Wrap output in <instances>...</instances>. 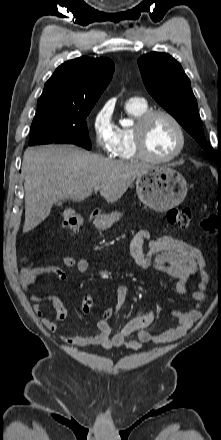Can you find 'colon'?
Here are the masks:
<instances>
[{
	"label": "colon",
	"instance_id": "5ec220e1",
	"mask_svg": "<svg viewBox=\"0 0 221 440\" xmlns=\"http://www.w3.org/2000/svg\"><path fill=\"white\" fill-rule=\"evenodd\" d=\"M192 213L187 207H175L171 208L166 213V220L169 224L179 227L186 228L191 222ZM83 224V219L81 215L72 208H66L63 211V225L66 229L77 230ZM202 228L205 231H211L215 227V221L212 217H208L202 221ZM93 308V299L90 296L83 298L81 302V310L84 313H88ZM101 318L109 321L113 316L112 309H101Z\"/></svg>",
	"mask_w": 221,
	"mask_h": 440
}]
</instances>
